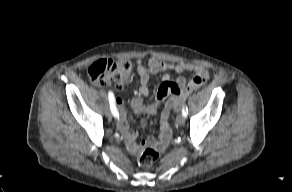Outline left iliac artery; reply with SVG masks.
Returning a JSON list of instances; mask_svg holds the SVG:
<instances>
[{
	"mask_svg": "<svg viewBox=\"0 0 292 192\" xmlns=\"http://www.w3.org/2000/svg\"><path fill=\"white\" fill-rule=\"evenodd\" d=\"M187 114H188V108H187L186 105H183V107H182V115H183L184 117H186Z\"/></svg>",
	"mask_w": 292,
	"mask_h": 192,
	"instance_id": "obj_1",
	"label": "left iliac artery"
}]
</instances>
